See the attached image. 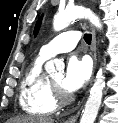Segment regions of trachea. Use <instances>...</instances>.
Returning a JSON list of instances; mask_svg holds the SVG:
<instances>
[{"instance_id":"trachea-1","label":"trachea","mask_w":118,"mask_h":123,"mask_svg":"<svg viewBox=\"0 0 118 123\" xmlns=\"http://www.w3.org/2000/svg\"><path fill=\"white\" fill-rule=\"evenodd\" d=\"M91 39H92V36H91V34H85L84 35V40H85V42L87 43V44H90L91 43Z\"/></svg>"}]
</instances>
